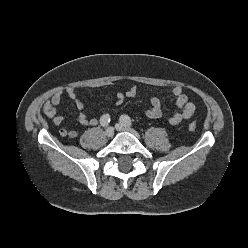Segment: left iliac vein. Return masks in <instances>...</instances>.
<instances>
[{"label": "left iliac vein", "mask_w": 248, "mask_h": 248, "mask_svg": "<svg viewBox=\"0 0 248 248\" xmlns=\"http://www.w3.org/2000/svg\"><path fill=\"white\" fill-rule=\"evenodd\" d=\"M115 127L118 131L130 132L131 134L139 138L138 133L134 129L130 128L129 126H126L122 123H118L115 125Z\"/></svg>", "instance_id": "obj_1"}]
</instances>
